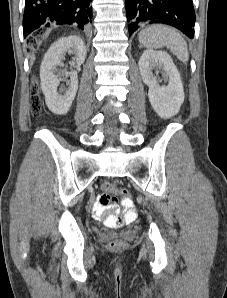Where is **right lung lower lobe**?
<instances>
[{"label":"right lung lower lobe","instance_id":"right-lung-lower-lobe-1","mask_svg":"<svg viewBox=\"0 0 227 298\" xmlns=\"http://www.w3.org/2000/svg\"><path fill=\"white\" fill-rule=\"evenodd\" d=\"M92 0H26L23 16L24 37L40 27L70 24L80 29L92 22Z\"/></svg>","mask_w":227,"mask_h":298}]
</instances>
